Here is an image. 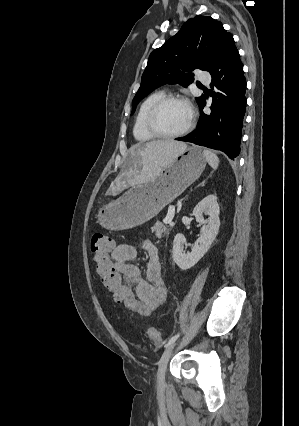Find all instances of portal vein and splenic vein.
Segmentation results:
<instances>
[{"instance_id": "obj_1", "label": "portal vein and splenic vein", "mask_w": 299, "mask_h": 426, "mask_svg": "<svg viewBox=\"0 0 299 426\" xmlns=\"http://www.w3.org/2000/svg\"><path fill=\"white\" fill-rule=\"evenodd\" d=\"M174 213H175V207L174 206H170L169 210H168V213H167L165 219L163 220V222L165 224L171 223V221L173 219V216H174Z\"/></svg>"}]
</instances>
